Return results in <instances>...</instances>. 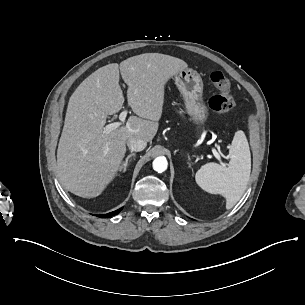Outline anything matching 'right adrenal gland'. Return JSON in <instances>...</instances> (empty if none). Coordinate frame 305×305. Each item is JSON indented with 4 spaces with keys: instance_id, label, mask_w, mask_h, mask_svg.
Returning a JSON list of instances; mask_svg holds the SVG:
<instances>
[{
    "instance_id": "right-adrenal-gland-1",
    "label": "right adrenal gland",
    "mask_w": 305,
    "mask_h": 305,
    "mask_svg": "<svg viewBox=\"0 0 305 305\" xmlns=\"http://www.w3.org/2000/svg\"><path fill=\"white\" fill-rule=\"evenodd\" d=\"M131 157H135V153H131V154L126 158L125 163H124V165H123L122 168H121V172H124V171H125V169H126V167H127V164H128V161H129V159H130Z\"/></svg>"
}]
</instances>
